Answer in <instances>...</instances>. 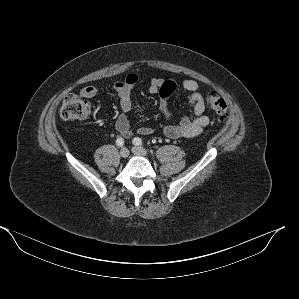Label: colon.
I'll use <instances>...</instances> for the list:
<instances>
[{
	"instance_id": "obj_1",
	"label": "colon",
	"mask_w": 299,
	"mask_h": 299,
	"mask_svg": "<svg viewBox=\"0 0 299 299\" xmlns=\"http://www.w3.org/2000/svg\"><path fill=\"white\" fill-rule=\"evenodd\" d=\"M207 103L222 122L228 121L227 104L222 97L216 94H209ZM90 113L91 105L89 102L75 94H69L64 98L59 111L60 117L67 121L84 120Z\"/></svg>"
}]
</instances>
